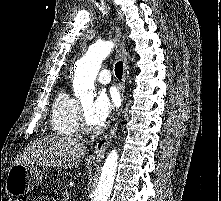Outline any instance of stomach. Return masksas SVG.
I'll list each match as a JSON object with an SVG mask.
<instances>
[{
    "label": "stomach",
    "mask_w": 221,
    "mask_h": 201,
    "mask_svg": "<svg viewBox=\"0 0 221 201\" xmlns=\"http://www.w3.org/2000/svg\"><path fill=\"white\" fill-rule=\"evenodd\" d=\"M42 181L41 170L32 164H13L7 175L6 191L21 196L38 186Z\"/></svg>",
    "instance_id": "0dacf381"
}]
</instances>
